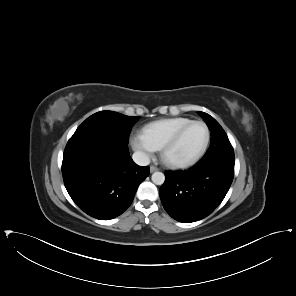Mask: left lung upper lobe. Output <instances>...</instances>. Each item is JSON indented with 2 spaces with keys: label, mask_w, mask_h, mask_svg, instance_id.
Instances as JSON below:
<instances>
[{
  "label": "left lung upper lobe",
  "mask_w": 296,
  "mask_h": 296,
  "mask_svg": "<svg viewBox=\"0 0 296 296\" xmlns=\"http://www.w3.org/2000/svg\"><path fill=\"white\" fill-rule=\"evenodd\" d=\"M205 121L211 133V144L203 158L199 161L202 164H209L224 157H234L233 147L220 124L209 114L198 112Z\"/></svg>",
  "instance_id": "left-lung-upper-lobe-1"
}]
</instances>
